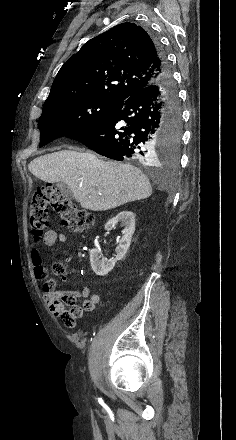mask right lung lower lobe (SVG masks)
I'll list each match as a JSON object with an SVG mask.
<instances>
[{"label":"right lung lower lobe","instance_id":"obj_1","mask_svg":"<svg viewBox=\"0 0 236 440\" xmlns=\"http://www.w3.org/2000/svg\"><path fill=\"white\" fill-rule=\"evenodd\" d=\"M154 42L162 71L159 78L121 102L106 119L69 138L114 160L153 162L150 146L154 142L158 145L165 129L181 126L179 102L169 66L160 45Z\"/></svg>","mask_w":236,"mask_h":440}]
</instances>
